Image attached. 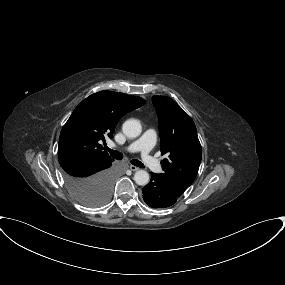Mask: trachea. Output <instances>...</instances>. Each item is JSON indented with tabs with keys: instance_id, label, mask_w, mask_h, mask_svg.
<instances>
[{
	"instance_id": "trachea-1",
	"label": "trachea",
	"mask_w": 285,
	"mask_h": 285,
	"mask_svg": "<svg viewBox=\"0 0 285 285\" xmlns=\"http://www.w3.org/2000/svg\"><path fill=\"white\" fill-rule=\"evenodd\" d=\"M105 149H106L107 151H109L110 156H111L112 158L117 159V160H121V159L123 158V155H122L121 152L116 151V150H113V149H110V148L107 147L106 145H105ZM130 162H131V164H133L134 166L141 167V168L144 167V164H143L141 161L137 160V159H133V160H131Z\"/></svg>"
}]
</instances>
